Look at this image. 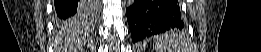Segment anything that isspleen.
Instances as JSON below:
<instances>
[{
	"label": "spleen",
	"mask_w": 261,
	"mask_h": 52,
	"mask_svg": "<svg viewBox=\"0 0 261 52\" xmlns=\"http://www.w3.org/2000/svg\"><path fill=\"white\" fill-rule=\"evenodd\" d=\"M158 52H179L181 36L177 33L164 34L156 37L155 41Z\"/></svg>",
	"instance_id": "1"
}]
</instances>
